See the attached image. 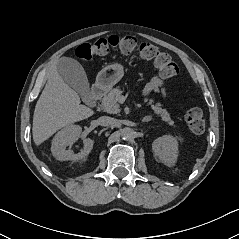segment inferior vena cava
I'll use <instances>...</instances> for the list:
<instances>
[{
	"label": "inferior vena cava",
	"instance_id": "inferior-vena-cava-1",
	"mask_svg": "<svg viewBox=\"0 0 239 239\" xmlns=\"http://www.w3.org/2000/svg\"><path fill=\"white\" fill-rule=\"evenodd\" d=\"M98 122L101 126H110L114 124L115 119L109 116H101L98 118Z\"/></svg>",
	"mask_w": 239,
	"mask_h": 239
}]
</instances>
